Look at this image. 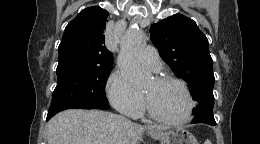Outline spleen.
Returning a JSON list of instances; mask_svg holds the SVG:
<instances>
[{"instance_id": "1", "label": "spleen", "mask_w": 260, "mask_h": 144, "mask_svg": "<svg viewBox=\"0 0 260 144\" xmlns=\"http://www.w3.org/2000/svg\"><path fill=\"white\" fill-rule=\"evenodd\" d=\"M205 144H211V141L210 140H206Z\"/></svg>"}]
</instances>
